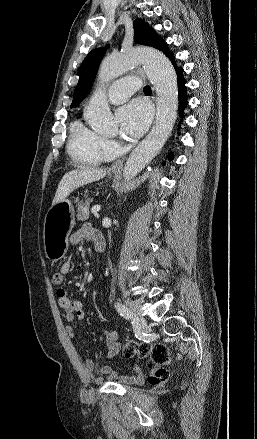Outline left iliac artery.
Masks as SVG:
<instances>
[{"instance_id":"1","label":"left iliac artery","mask_w":257,"mask_h":439,"mask_svg":"<svg viewBox=\"0 0 257 439\" xmlns=\"http://www.w3.org/2000/svg\"><path fill=\"white\" fill-rule=\"evenodd\" d=\"M115 307H116L117 311L120 313V315L123 316L124 318H126V319L132 318V313L129 311V309L125 305H123L119 302H116Z\"/></svg>"}]
</instances>
